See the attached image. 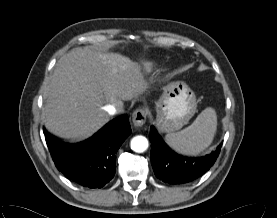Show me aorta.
<instances>
[{"label":"aorta","instance_id":"1","mask_svg":"<svg viewBox=\"0 0 277 218\" xmlns=\"http://www.w3.org/2000/svg\"><path fill=\"white\" fill-rule=\"evenodd\" d=\"M131 149L136 153H143L148 148V140L146 137L138 135L131 139Z\"/></svg>","mask_w":277,"mask_h":218}]
</instances>
